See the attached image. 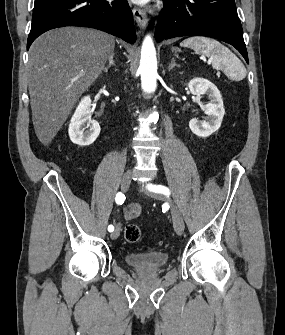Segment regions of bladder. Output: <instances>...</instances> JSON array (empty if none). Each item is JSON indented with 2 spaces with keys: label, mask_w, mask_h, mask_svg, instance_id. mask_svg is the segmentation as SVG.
I'll return each mask as SVG.
<instances>
[{
  "label": "bladder",
  "mask_w": 285,
  "mask_h": 335,
  "mask_svg": "<svg viewBox=\"0 0 285 335\" xmlns=\"http://www.w3.org/2000/svg\"><path fill=\"white\" fill-rule=\"evenodd\" d=\"M171 256L167 251H151V252H125V265H131L132 270L138 272H152L163 268V265L169 263Z\"/></svg>",
  "instance_id": "obj_1"
}]
</instances>
